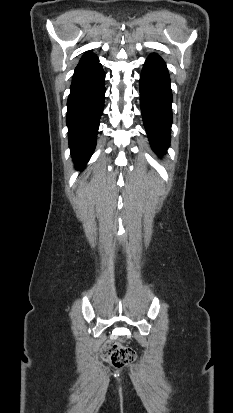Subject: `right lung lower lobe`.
<instances>
[{"instance_id":"98d812e1","label":"right lung lower lobe","mask_w":233,"mask_h":413,"mask_svg":"<svg viewBox=\"0 0 233 413\" xmlns=\"http://www.w3.org/2000/svg\"><path fill=\"white\" fill-rule=\"evenodd\" d=\"M105 74L98 57L86 52L75 68L67 101L68 139L77 169H82L96 146L104 108Z\"/></svg>"}]
</instances>
